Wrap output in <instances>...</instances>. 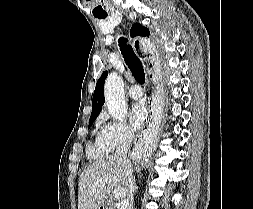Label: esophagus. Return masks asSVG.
I'll use <instances>...</instances> for the list:
<instances>
[{"label": "esophagus", "mask_w": 253, "mask_h": 209, "mask_svg": "<svg viewBox=\"0 0 253 209\" xmlns=\"http://www.w3.org/2000/svg\"><path fill=\"white\" fill-rule=\"evenodd\" d=\"M133 46L135 48L140 47V44H138V41L136 39L133 42ZM154 110H155V108H154L153 102H149V104H148V118L146 120L145 125L142 127L138 137H142L143 133L153 125V123H154Z\"/></svg>", "instance_id": "esophagus-1"}]
</instances>
